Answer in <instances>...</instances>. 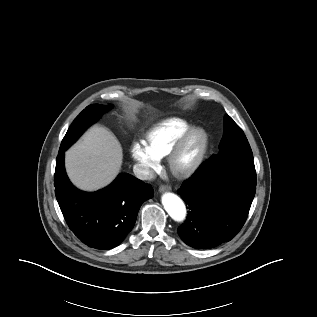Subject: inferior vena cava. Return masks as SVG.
<instances>
[{
	"mask_svg": "<svg viewBox=\"0 0 317 317\" xmlns=\"http://www.w3.org/2000/svg\"><path fill=\"white\" fill-rule=\"evenodd\" d=\"M133 172L135 176L140 180H152L155 179V172L142 163H136L133 166Z\"/></svg>",
	"mask_w": 317,
	"mask_h": 317,
	"instance_id": "602c4592",
	"label": "inferior vena cava"
}]
</instances>
